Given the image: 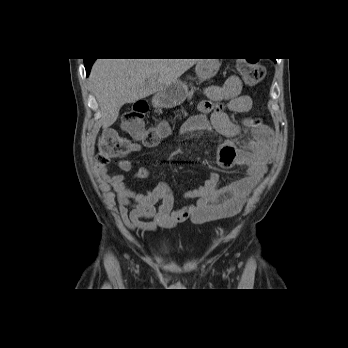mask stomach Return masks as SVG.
<instances>
[{"label": "stomach", "mask_w": 348, "mask_h": 348, "mask_svg": "<svg viewBox=\"0 0 348 348\" xmlns=\"http://www.w3.org/2000/svg\"><path fill=\"white\" fill-rule=\"evenodd\" d=\"M217 59H200L195 66V73L200 81L209 80L219 70ZM189 85L180 80L166 86L159 91L152 99L155 107L173 108L181 104L188 95Z\"/></svg>", "instance_id": "stomach-1"}]
</instances>
